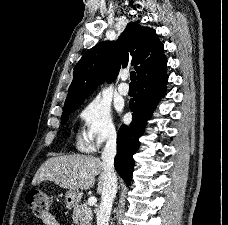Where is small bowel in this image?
<instances>
[{
	"label": "small bowel",
	"instance_id": "c3829d8e",
	"mask_svg": "<svg viewBox=\"0 0 228 225\" xmlns=\"http://www.w3.org/2000/svg\"><path fill=\"white\" fill-rule=\"evenodd\" d=\"M43 225H59V222L52 214H47L42 218Z\"/></svg>",
	"mask_w": 228,
	"mask_h": 225
}]
</instances>
